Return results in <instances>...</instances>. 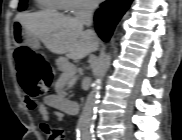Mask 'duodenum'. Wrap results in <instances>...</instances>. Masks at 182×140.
Wrapping results in <instances>:
<instances>
[{
    "label": "duodenum",
    "instance_id": "410a0bca",
    "mask_svg": "<svg viewBox=\"0 0 182 140\" xmlns=\"http://www.w3.org/2000/svg\"><path fill=\"white\" fill-rule=\"evenodd\" d=\"M61 108L69 114L74 115L79 108V103L77 101H67Z\"/></svg>",
    "mask_w": 182,
    "mask_h": 140
}]
</instances>
